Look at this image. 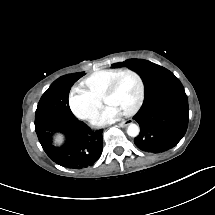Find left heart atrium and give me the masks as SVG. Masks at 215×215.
<instances>
[{"label": "left heart atrium", "instance_id": "39dd6f15", "mask_svg": "<svg viewBox=\"0 0 215 215\" xmlns=\"http://www.w3.org/2000/svg\"><path fill=\"white\" fill-rule=\"evenodd\" d=\"M123 114V110L119 105L114 102H110L106 105L100 113V120L101 121H109L115 119Z\"/></svg>", "mask_w": 215, "mask_h": 215}]
</instances>
